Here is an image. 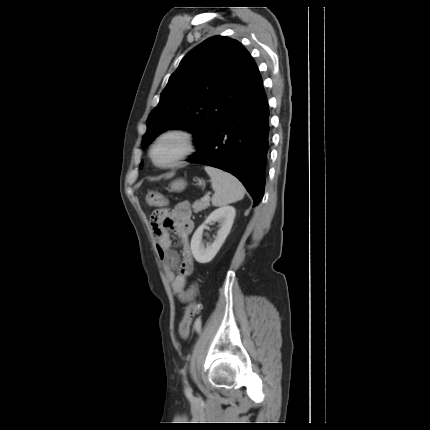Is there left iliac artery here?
Segmentation results:
<instances>
[{
  "mask_svg": "<svg viewBox=\"0 0 430 430\" xmlns=\"http://www.w3.org/2000/svg\"><path fill=\"white\" fill-rule=\"evenodd\" d=\"M196 326H195V331H196V333H198V334H200V333H202V324H201V322H196V324H195ZM182 374L185 376V374H186V370H185V368L184 369H182Z\"/></svg>",
  "mask_w": 430,
  "mask_h": 430,
  "instance_id": "44dca946",
  "label": "left iliac artery"
}]
</instances>
